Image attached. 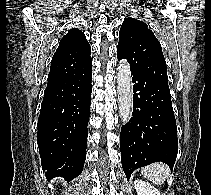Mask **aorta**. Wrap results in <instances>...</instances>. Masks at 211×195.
Instances as JSON below:
<instances>
[{
    "label": "aorta",
    "instance_id": "obj_1",
    "mask_svg": "<svg viewBox=\"0 0 211 195\" xmlns=\"http://www.w3.org/2000/svg\"><path fill=\"white\" fill-rule=\"evenodd\" d=\"M117 84L119 115L123 123H128L132 117L133 92L130 65L125 59L117 67Z\"/></svg>",
    "mask_w": 211,
    "mask_h": 195
}]
</instances>
